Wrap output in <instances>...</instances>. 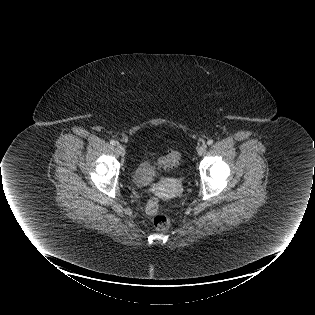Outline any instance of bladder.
I'll list each match as a JSON object with an SVG mask.
<instances>
[{
    "mask_svg": "<svg viewBox=\"0 0 315 315\" xmlns=\"http://www.w3.org/2000/svg\"><path fill=\"white\" fill-rule=\"evenodd\" d=\"M156 176L155 167L150 158H142L131 173V182L136 186L150 184Z\"/></svg>",
    "mask_w": 315,
    "mask_h": 315,
    "instance_id": "obj_1",
    "label": "bladder"
}]
</instances>
